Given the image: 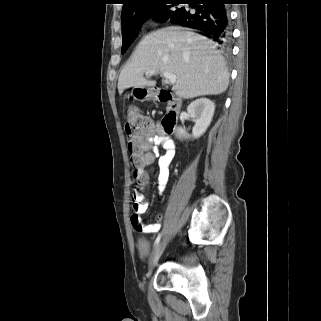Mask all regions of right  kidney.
<instances>
[{"instance_id": "1", "label": "right kidney", "mask_w": 321, "mask_h": 321, "mask_svg": "<svg viewBox=\"0 0 321 321\" xmlns=\"http://www.w3.org/2000/svg\"><path fill=\"white\" fill-rule=\"evenodd\" d=\"M215 110V104L207 98H200L187 107V112L194 119L195 125L192 130V136L182 128L178 127L176 136L178 138H199L202 136L209 127Z\"/></svg>"}]
</instances>
